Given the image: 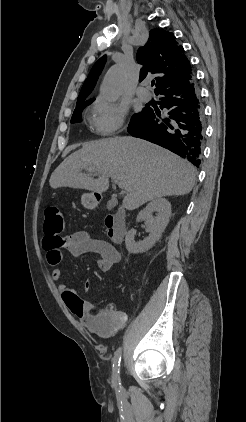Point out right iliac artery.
I'll use <instances>...</instances> for the list:
<instances>
[{
    "mask_svg": "<svg viewBox=\"0 0 246 422\" xmlns=\"http://www.w3.org/2000/svg\"><path fill=\"white\" fill-rule=\"evenodd\" d=\"M120 362H121V348H118V350L115 352L114 359H113V385L118 391H120L121 389Z\"/></svg>",
    "mask_w": 246,
    "mask_h": 422,
    "instance_id": "1",
    "label": "right iliac artery"
}]
</instances>
